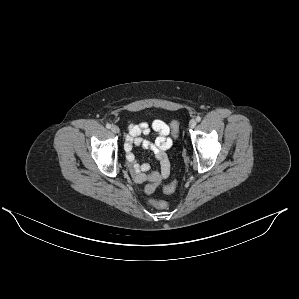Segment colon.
<instances>
[{"label":"colon","instance_id":"5ec220e1","mask_svg":"<svg viewBox=\"0 0 299 299\" xmlns=\"http://www.w3.org/2000/svg\"><path fill=\"white\" fill-rule=\"evenodd\" d=\"M179 128V122L177 120H174L171 123V130L173 134H176ZM176 189V183L171 182L168 185L164 187V193L165 194H172ZM150 204L154 206L157 209L160 210H165L168 209L169 204L165 200H160V199H150L149 200Z\"/></svg>","mask_w":299,"mask_h":299}]
</instances>
